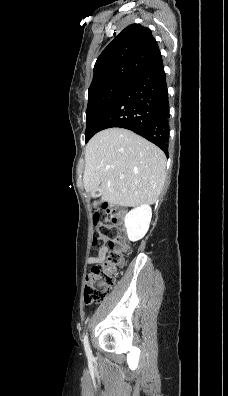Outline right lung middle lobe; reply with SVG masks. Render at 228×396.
<instances>
[{"instance_id":"dd1d6c3e","label":"right lung middle lobe","mask_w":228,"mask_h":396,"mask_svg":"<svg viewBox=\"0 0 228 396\" xmlns=\"http://www.w3.org/2000/svg\"><path fill=\"white\" fill-rule=\"evenodd\" d=\"M129 83L112 82L88 91L86 142L96 133V125Z\"/></svg>"}]
</instances>
